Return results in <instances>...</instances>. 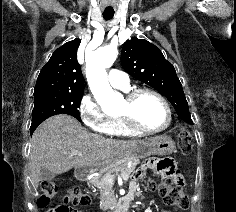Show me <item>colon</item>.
Listing matches in <instances>:
<instances>
[{
  "mask_svg": "<svg viewBox=\"0 0 236 212\" xmlns=\"http://www.w3.org/2000/svg\"><path fill=\"white\" fill-rule=\"evenodd\" d=\"M177 144L182 154L188 155L193 150V143L190 133L180 127ZM182 179L176 171H170L160 182H150V187L158 192L165 201L170 205H175L178 208L185 209L189 202L187 197L183 194ZM58 185L54 181H44L41 184V196L38 199L40 206L48 205L51 200L57 195ZM90 201L89 197L85 195L78 186L69 188L65 202L48 212H78L75 207L79 205H86Z\"/></svg>",
  "mask_w": 236,
  "mask_h": 212,
  "instance_id": "1",
  "label": "colon"
}]
</instances>
